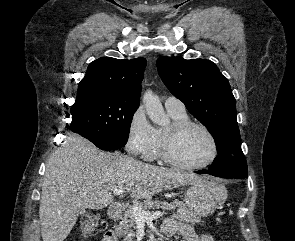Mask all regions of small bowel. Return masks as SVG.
Segmentation results:
<instances>
[{"label": "small bowel", "instance_id": "small-bowel-1", "mask_svg": "<svg viewBox=\"0 0 295 241\" xmlns=\"http://www.w3.org/2000/svg\"><path fill=\"white\" fill-rule=\"evenodd\" d=\"M162 229L167 235H178L181 241H213L209 235L197 233L191 225L171 218L164 221ZM102 241H116V237L109 231Z\"/></svg>", "mask_w": 295, "mask_h": 241}]
</instances>
